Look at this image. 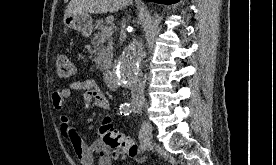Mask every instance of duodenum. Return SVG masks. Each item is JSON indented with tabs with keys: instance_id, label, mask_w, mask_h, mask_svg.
I'll return each instance as SVG.
<instances>
[{
	"instance_id": "410a0bca",
	"label": "duodenum",
	"mask_w": 276,
	"mask_h": 165,
	"mask_svg": "<svg viewBox=\"0 0 276 165\" xmlns=\"http://www.w3.org/2000/svg\"><path fill=\"white\" fill-rule=\"evenodd\" d=\"M104 78H105V82L107 84V86L111 89V90H116L119 87V80L117 75L115 74V72L111 69H108L105 71L104 73Z\"/></svg>"
}]
</instances>
